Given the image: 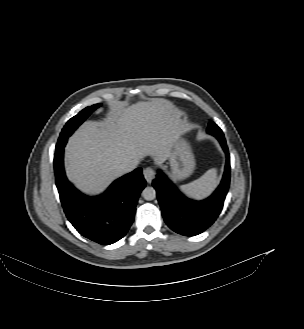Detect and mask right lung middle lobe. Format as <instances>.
I'll use <instances>...</instances> for the list:
<instances>
[{"instance_id": "obj_1", "label": "right lung middle lobe", "mask_w": 304, "mask_h": 329, "mask_svg": "<svg viewBox=\"0 0 304 329\" xmlns=\"http://www.w3.org/2000/svg\"><path fill=\"white\" fill-rule=\"evenodd\" d=\"M101 104H95L89 107H86L80 111L76 116L72 117L62 129L60 137L58 139L56 149L61 146H65L68 137L78 128V126Z\"/></svg>"}]
</instances>
